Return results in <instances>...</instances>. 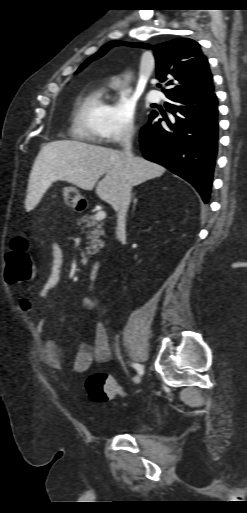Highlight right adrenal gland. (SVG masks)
<instances>
[{"instance_id": "2a0ac1e0", "label": "right adrenal gland", "mask_w": 247, "mask_h": 513, "mask_svg": "<svg viewBox=\"0 0 247 513\" xmlns=\"http://www.w3.org/2000/svg\"><path fill=\"white\" fill-rule=\"evenodd\" d=\"M132 200H133V209H135V206L137 204V198H135V196L133 195Z\"/></svg>"}]
</instances>
